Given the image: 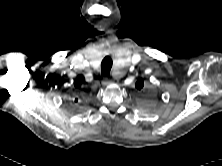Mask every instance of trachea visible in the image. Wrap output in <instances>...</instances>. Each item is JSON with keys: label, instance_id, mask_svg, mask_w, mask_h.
Listing matches in <instances>:
<instances>
[{"label": "trachea", "instance_id": "trachea-1", "mask_svg": "<svg viewBox=\"0 0 222 166\" xmlns=\"http://www.w3.org/2000/svg\"><path fill=\"white\" fill-rule=\"evenodd\" d=\"M112 59L110 56H106L101 63V73L103 76L108 77L112 68Z\"/></svg>", "mask_w": 222, "mask_h": 166}]
</instances>
